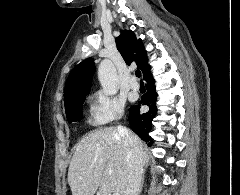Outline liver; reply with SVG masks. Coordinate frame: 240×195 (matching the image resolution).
I'll return each mask as SVG.
<instances>
[{
	"instance_id": "6515ba94",
	"label": "liver",
	"mask_w": 240,
	"mask_h": 195,
	"mask_svg": "<svg viewBox=\"0 0 240 195\" xmlns=\"http://www.w3.org/2000/svg\"><path fill=\"white\" fill-rule=\"evenodd\" d=\"M132 137L139 145L143 165H147L149 155L145 143L135 133ZM127 153L117 127L86 133L77 143L68 169L72 195H94L97 189L101 195L124 193L129 175Z\"/></svg>"
}]
</instances>
